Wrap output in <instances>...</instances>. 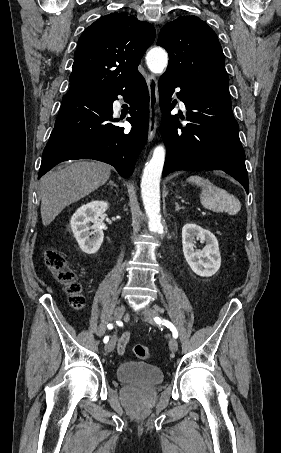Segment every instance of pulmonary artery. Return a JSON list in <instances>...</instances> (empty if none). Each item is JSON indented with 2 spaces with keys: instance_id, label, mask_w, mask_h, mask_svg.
I'll return each mask as SVG.
<instances>
[{
  "instance_id": "obj_1",
  "label": "pulmonary artery",
  "mask_w": 281,
  "mask_h": 453,
  "mask_svg": "<svg viewBox=\"0 0 281 453\" xmlns=\"http://www.w3.org/2000/svg\"><path fill=\"white\" fill-rule=\"evenodd\" d=\"M121 99L120 98H117L113 101V108L115 110H118L120 108V105H121ZM181 106H183V103H181Z\"/></svg>"
}]
</instances>
